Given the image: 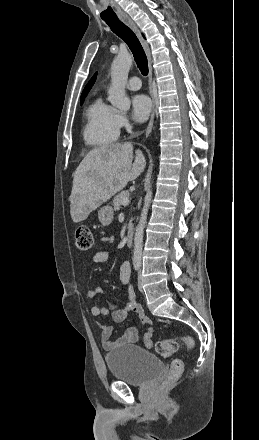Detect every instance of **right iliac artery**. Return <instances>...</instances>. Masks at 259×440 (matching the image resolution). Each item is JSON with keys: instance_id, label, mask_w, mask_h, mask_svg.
<instances>
[{"instance_id": "obj_1", "label": "right iliac artery", "mask_w": 259, "mask_h": 440, "mask_svg": "<svg viewBox=\"0 0 259 440\" xmlns=\"http://www.w3.org/2000/svg\"><path fill=\"white\" fill-rule=\"evenodd\" d=\"M135 270L139 269V265H134Z\"/></svg>"}]
</instances>
